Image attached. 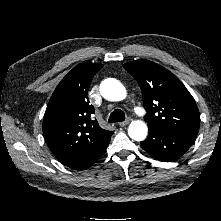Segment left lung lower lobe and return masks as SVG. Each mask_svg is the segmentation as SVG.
Instances as JSON below:
<instances>
[{"label":"left lung lower lobe","mask_w":221,"mask_h":221,"mask_svg":"<svg viewBox=\"0 0 221 221\" xmlns=\"http://www.w3.org/2000/svg\"><path fill=\"white\" fill-rule=\"evenodd\" d=\"M195 134L162 131L149 127V135L141 147L153 158L169 162L181 157L192 145Z\"/></svg>","instance_id":"left-lung-lower-lobe-1"}]
</instances>
